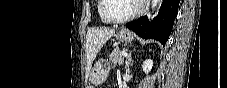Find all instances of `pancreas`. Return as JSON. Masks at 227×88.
<instances>
[{
	"instance_id": "pancreas-1",
	"label": "pancreas",
	"mask_w": 227,
	"mask_h": 88,
	"mask_svg": "<svg viewBox=\"0 0 227 88\" xmlns=\"http://www.w3.org/2000/svg\"><path fill=\"white\" fill-rule=\"evenodd\" d=\"M122 52L119 49H114L110 54L109 58L113 65L119 64L122 65L124 61V57L122 56Z\"/></svg>"
}]
</instances>
